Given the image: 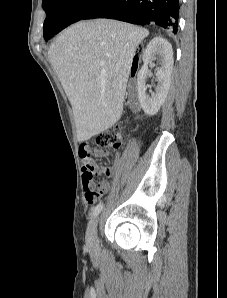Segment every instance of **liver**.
I'll return each mask as SVG.
<instances>
[{
  "mask_svg": "<svg viewBox=\"0 0 227 298\" xmlns=\"http://www.w3.org/2000/svg\"><path fill=\"white\" fill-rule=\"evenodd\" d=\"M146 29L112 19L77 22L48 51L74 112L77 140L111 128L121 117L133 57Z\"/></svg>",
  "mask_w": 227,
  "mask_h": 298,
  "instance_id": "6515ba94",
  "label": "liver"
}]
</instances>
